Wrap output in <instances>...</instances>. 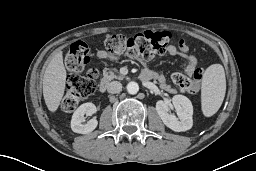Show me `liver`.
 <instances>
[{"mask_svg":"<svg viewBox=\"0 0 256 171\" xmlns=\"http://www.w3.org/2000/svg\"><path fill=\"white\" fill-rule=\"evenodd\" d=\"M66 69L62 51L57 52L47 65L43 76V96L47 108L55 112L65 91Z\"/></svg>","mask_w":256,"mask_h":171,"instance_id":"6515ba94","label":"liver"}]
</instances>
